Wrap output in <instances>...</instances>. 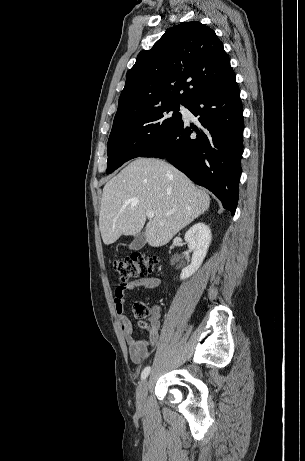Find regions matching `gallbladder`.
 <instances>
[{
  "label": "gallbladder",
  "mask_w": 305,
  "mask_h": 461,
  "mask_svg": "<svg viewBox=\"0 0 305 461\" xmlns=\"http://www.w3.org/2000/svg\"><path fill=\"white\" fill-rule=\"evenodd\" d=\"M145 243H146L145 232L141 231L139 234L135 236L134 240L129 245V249L140 250L141 248L144 247Z\"/></svg>",
  "instance_id": "1"
}]
</instances>
